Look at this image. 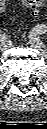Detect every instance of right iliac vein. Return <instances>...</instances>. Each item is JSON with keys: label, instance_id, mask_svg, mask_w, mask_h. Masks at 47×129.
Masks as SVG:
<instances>
[{"label": "right iliac vein", "instance_id": "1", "mask_svg": "<svg viewBox=\"0 0 47 129\" xmlns=\"http://www.w3.org/2000/svg\"><path fill=\"white\" fill-rule=\"evenodd\" d=\"M9 48V44L7 42H2L0 45L1 51H6Z\"/></svg>", "mask_w": 47, "mask_h": 129}]
</instances>
